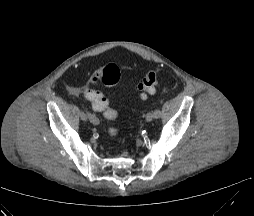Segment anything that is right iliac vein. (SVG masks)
<instances>
[{"label": "right iliac vein", "mask_w": 254, "mask_h": 216, "mask_svg": "<svg viewBox=\"0 0 254 216\" xmlns=\"http://www.w3.org/2000/svg\"><path fill=\"white\" fill-rule=\"evenodd\" d=\"M79 117H80V119H81L82 121H84V122H86V121L88 120V116H87V114H86L84 111H81V112L79 113Z\"/></svg>", "instance_id": "1"}]
</instances>
